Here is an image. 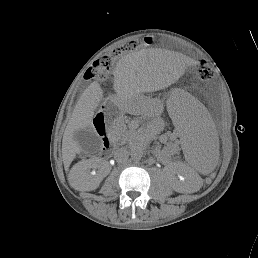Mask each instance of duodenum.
Wrapping results in <instances>:
<instances>
[{"label":"duodenum","instance_id":"obj_1","mask_svg":"<svg viewBox=\"0 0 258 258\" xmlns=\"http://www.w3.org/2000/svg\"><path fill=\"white\" fill-rule=\"evenodd\" d=\"M101 128H102V125H101ZM103 137H104V141H105V143H109V141H110V139H109V136L106 134V133H104L103 134ZM107 144H105L106 145V147H108V145Z\"/></svg>","mask_w":258,"mask_h":258}]
</instances>
